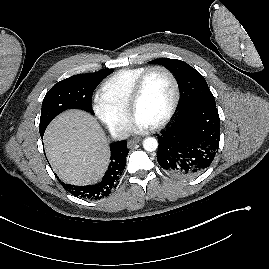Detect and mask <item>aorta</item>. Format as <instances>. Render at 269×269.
I'll return each instance as SVG.
<instances>
[{
  "label": "aorta",
  "mask_w": 269,
  "mask_h": 269,
  "mask_svg": "<svg viewBox=\"0 0 269 269\" xmlns=\"http://www.w3.org/2000/svg\"><path fill=\"white\" fill-rule=\"evenodd\" d=\"M143 147L146 151L152 152L155 151L158 147V142L154 137H147L143 141Z\"/></svg>",
  "instance_id": "1"
}]
</instances>
